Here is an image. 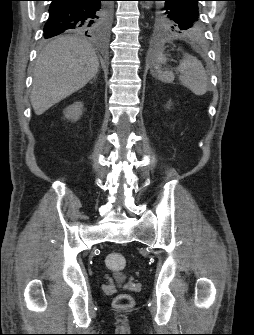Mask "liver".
<instances>
[{
    "label": "liver",
    "instance_id": "6515ba94",
    "mask_svg": "<svg viewBox=\"0 0 254 335\" xmlns=\"http://www.w3.org/2000/svg\"><path fill=\"white\" fill-rule=\"evenodd\" d=\"M99 70L93 46L76 36H61L39 54L30 101L36 115L84 87Z\"/></svg>",
    "mask_w": 254,
    "mask_h": 335
}]
</instances>
